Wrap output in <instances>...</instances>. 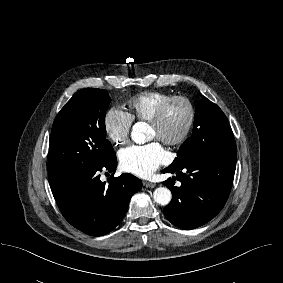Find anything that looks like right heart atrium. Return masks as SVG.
<instances>
[{
  "instance_id": "d8ad5b80",
  "label": "right heart atrium",
  "mask_w": 283,
  "mask_h": 283,
  "mask_svg": "<svg viewBox=\"0 0 283 283\" xmlns=\"http://www.w3.org/2000/svg\"><path fill=\"white\" fill-rule=\"evenodd\" d=\"M103 125L107 137L114 145L123 146L128 143L132 126L128 113L113 107L106 112Z\"/></svg>"
}]
</instances>
